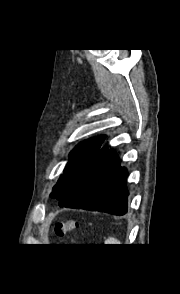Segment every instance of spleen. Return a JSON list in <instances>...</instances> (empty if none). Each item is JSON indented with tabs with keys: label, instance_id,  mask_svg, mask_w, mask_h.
Masks as SVG:
<instances>
[{
	"label": "spleen",
	"instance_id": "1",
	"mask_svg": "<svg viewBox=\"0 0 180 294\" xmlns=\"http://www.w3.org/2000/svg\"><path fill=\"white\" fill-rule=\"evenodd\" d=\"M106 243L107 244H120V242L118 240L111 238V237L106 240Z\"/></svg>",
	"mask_w": 180,
	"mask_h": 294
}]
</instances>
